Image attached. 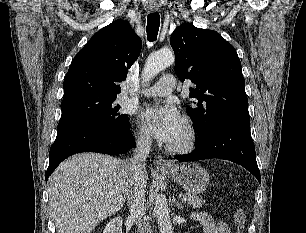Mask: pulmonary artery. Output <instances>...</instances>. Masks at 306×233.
Returning a JSON list of instances; mask_svg holds the SVG:
<instances>
[{"label": "pulmonary artery", "instance_id": "1", "mask_svg": "<svg viewBox=\"0 0 306 233\" xmlns=\"http://www.w3.org/2000/svg\"><path fill=\"white\" fill-rule=\"evenodd\" d=\"M176 86V79L172 75H165L160 78V81L143 90L141 92L142 96L145 97H163L170 94Z\"/></svg>", "mask_w": 306, "mask_h": 233}]
</instances>
